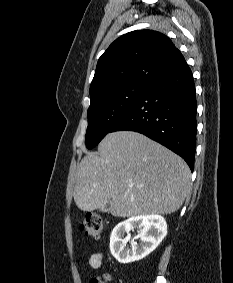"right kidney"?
<instances>
[{"mask_svg":"<svg viewBox=\"0 0 233 283\" xmlns=\"http://www.w3.org/2000/svg\"><path fill=\"white\" fill-rule=\"evenodd\" d=\"M136 230L141 243L133 241L131 248H126L125 233ZM167 235V223L157 214L137 215L119 223L110 236V251L120 263L127 264L139 261L149 255Z\"/></svg>","mask_w":233,"mask_h":283,"instance_id":"1","label":"right kidney"}]
</instances>
